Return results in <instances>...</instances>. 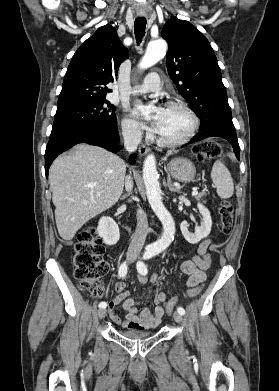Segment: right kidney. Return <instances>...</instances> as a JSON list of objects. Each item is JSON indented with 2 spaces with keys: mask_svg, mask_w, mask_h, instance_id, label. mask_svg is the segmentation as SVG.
<instances>
[{
  "mask_svg": "<svg viewBox=\"0 0 279 391\" xmlns=\"http://www.w3.org/2000/svg\"><path fill=\"white\" fill-rule=\"evenodd\" d=\"M97 233L106 245H115L120 239V231L117 223L108 216L100 218Z\"/></svg>",
  "mask_w": 279,
  "mask_h": 391,
  "instance_id": "ca27d5eb",
  "label": "right kidney"
}]
</instances>
